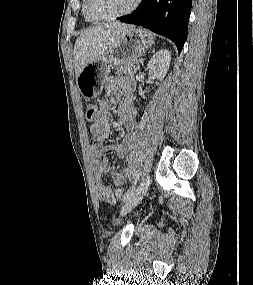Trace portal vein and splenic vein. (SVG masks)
Returning a JSON list of instances; mask_svg holds the SVG:
<instances>
[{
  "mask_svg": "<svg viewBox=\"0 0 253 285\" xmlns=\"http://www.w3.org/2000/svg\"><path fill=\"white\" fill-rule=\"evenodd\" d=\"M139 68H140L139 65H135V66H134V69H135V70H138Z\"/></svg>",
  "mask_w": 253,
  "mask_h": 285,
  "instance_id": "portal-vein-and-splenic-vein-1",
  "label": "portal vein and splenic vein"
}]
</instances>
